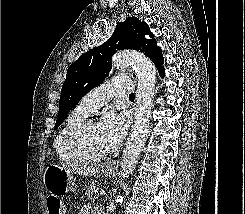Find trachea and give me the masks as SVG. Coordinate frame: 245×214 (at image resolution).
Instances as JSON below:
<instances>
[{
  "label": "trachea",
  "mask_w": 245,
  "mask_h": 214,
  "mask_svg": "<svg viewBox=\"0 0 245 214\" xmlns=\"http://www.w3.org/2000/svg\"><path fill=\"white\" fill-rule=\"evenodd\" d=\"M134 97H135L134 93H131V94L129 95V98H134Z\"/></svg>",
  "instance_id": "3493384b"
}]
</instances>
